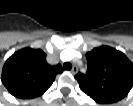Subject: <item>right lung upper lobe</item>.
Listing matches in <instances>:
<instances>
[{
    "label": "right lung upper lobe",
    "instance_id": "1",
    "mask_svg": "<svg viewBox=\"0 0 133 106\" xmlns=\"http://www.w3.org/2000/svg\"><path fill=\"white\" fill-rule=\"evenodd\" d=\"M63 69L60 64L51 66L41 49L24 48L5 62L2 82L13 96L30 99L42 95Z\"/></svg>",
    "mask_w": 133,
    "mask_h": 106
}]
</instances>
